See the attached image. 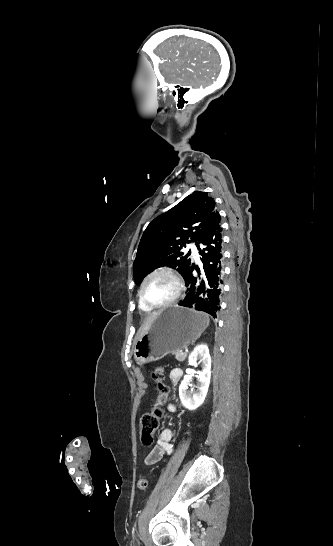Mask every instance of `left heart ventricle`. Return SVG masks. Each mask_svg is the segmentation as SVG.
<instances>
[{"label": "left heart ventricle", "instance_id": "left-heart-ventricle-1", "mask_svg": "<svg viewBox=\"0 0 333 546\" xmlns=\"http://www.w3.org/2000/svg\"><path fill=\"white\" fill-rule=\"evenodd\" d=\"M176 290L177 286L172 277L167 274H159L147 283L145 296L153 304H162L170 300Z\"/></svg>", "mask_w": 333, "mask_h": 546}]
</instances>
